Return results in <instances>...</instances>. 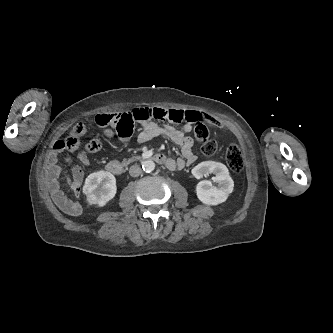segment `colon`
<instances>
[{"label": "colon", "mask_w": 333, "mask_h": 333, "mask_svg": "<svg viewBox=\"0 0 333 333\" xmlns=\"http://www.w3.org/2000/svg\"><path fill=\"white\" fill-rule=\"evenodd\" d=\"M96 123L101 127L110 126L115 128L118 135L124 134L130 130V122L125 113H103L96 117ZM86 133V127L82 123H77L71 129L70 134L61 140L54 143L52 152L55 156L62 154L65 151L78 152L80 155L85 153L97 152L102 148L103 142L101 139H93L81 147L80 138ZM195 136L201 144V151L206 156L214 155L217 152V143L210 137L208 128L197 123L194 129ZM225 159L228 167L234 173L242 171L244 166L243 154L240 148L236 145H230L225 154Z\"/></svg>", "instance_id": "1"}]
</instances>
